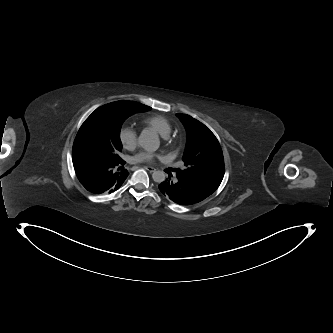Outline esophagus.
<instances>
[{
	"mask_svg": "<svg viewBox=\"0 0 333 333\" xmlns=\"http://www.w3.org/2000/svg\"><path fill=\"white\" fill-rule=\"evenodd\" d=\"M147 171H149V172H154V171H156V169L154 168V167H152V166H145L144 167Z\"/></svg>",
	"mask_w": 333,
	"mask_h": 333,
	"instance_id": "esophagus-1",
	"label": "esophagus"
}]
</instances>
